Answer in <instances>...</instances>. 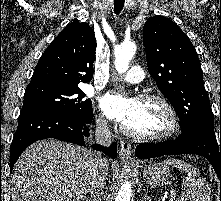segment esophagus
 <instances>
[{
    "instance_id": "obj_1",
    "label": "esophagus",
    "mask_w": 221,
    "mask_h": 201,
    "mask_svg": "<svg viewBox=\"0 0 221 201\" xmlns=\"http://www.w3.org/2000/svg\"><path fill=\"white\" fill-rule=\"evenodd\" d=\"M120 159L124 162H132V149L131 144L125 140H120Z\"/></svg>"
}]
</instances>
